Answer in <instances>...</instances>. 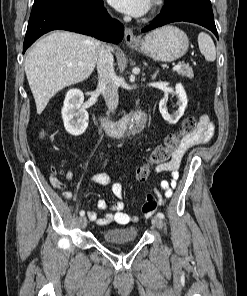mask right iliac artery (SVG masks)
Masks as SVG:
<instances>
[{
    "label": "right iliac artery",
    "mask_w": 247,
    "mask_h": 296,
    "mask_svg": "<svg viewBox=\"0 0 247 296\" xmlns=\"http://www.w3.org/2000/svg\"><path fill=\"white\" fill-rule=\"evenodd\" d=\"M79 214H80V216H84L85 212L83 210H81Z\"/></svg>",
    "instance_id": "obj_1"
}]
</instances>
